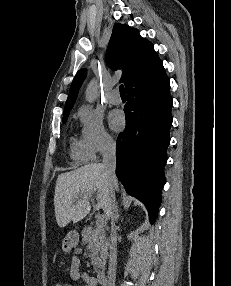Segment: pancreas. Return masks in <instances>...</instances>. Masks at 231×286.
Segmentation results:
<instances>
[{"instance_id":"pancreas-1","label":"pancreas","mask_w":231,"mask_h":286,"mask_svg":"<svg viewBox=\"0 0 231 286\" xmlns=\"http://www.w3.org/2000/svg\"><path fill=\"white\" fill-rule=\"evenodd\" d=\"M82 241L86 245V249L90 252L91 265L94 270L102 268L105 265L108 250V239L104 228L85 227L82 232Z\"/></svg>"}]
</instances>
